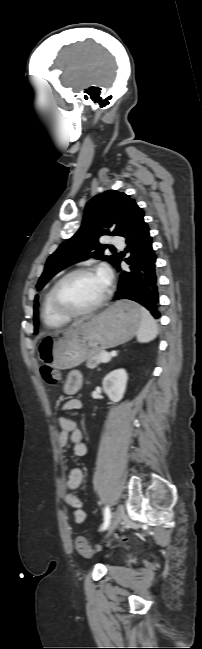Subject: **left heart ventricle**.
Masks as SVG:
<instances>
[{"mask_svg": "<svg viewBox=\"0 0 202 649\" xmlns=\"http://www.w3.org/2000/svg\"><path fill=\"white\" fill-rule=\"evenodd\" d=\"M106 288L107 283L98 272L80 274L71 277L63 284L61 296L69 307L82 310L99 301Z\"/></svg>", "mask_w": 202, "mask_h": 649, "instance_id": "1", "label": "left heart ventricle"}]
</instances>
